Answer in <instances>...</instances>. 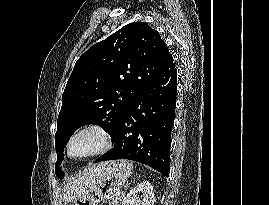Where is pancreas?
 <instances>
[{
  "mask_svg": "<svg viewBox=\"0 0 269 205\" xmlns=\"http://www.w3.org/2000/svg\"><path fill=\"white\" fill-rule=\"evenodd\" d=\"M121 198L119 197L115 203H112V205H119Z\"/></svg>",
  "mask_w": 269,
  "mask_h": 205,
  "instance_id": "pancreas-1",
  "label": "pancreas"
}]
</instances>
